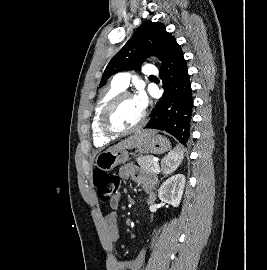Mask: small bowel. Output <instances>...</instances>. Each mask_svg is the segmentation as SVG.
Listing matches in <instances>:
<instances>
[{"label":"small bowel","mask_w":267,"mask_h":270,"mask_svg":"<svg viewBox=\"0 0 267 270\" xmlns=\"http://www.w3.org/2000/svg\"><path fill=\"white\" fill-rule=\"evenodd\" d=\"M121 178L132 179L141 188L142 192L147 196V202L151 204L154 200L153 194V180L150 177L143 176L139 173L134 165H126L120 169ZM120 198L115 196L110 201L111 211L105 216V226L107 231L108 240L111 243H116L120 238V231L118 226V216L116 209L119 206ZM146 256V250L143 249L132 260H114V265L117 270H140Z\"/></svg>","instance_id":"c3829d8e"}]
</instances>
